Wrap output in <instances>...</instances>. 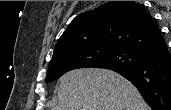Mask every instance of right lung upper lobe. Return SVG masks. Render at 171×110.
<instances>
[{"mask_svg": "<svg viewBox=\"0 0 171 110\" xmlns=\"http://www.w3.org/2000/svg\"><path fill=\"white\" fill-rule=\"evenodd\" d=\"M162 43L160 30L143 5L111 1L74 18L59 38L53 57L100 47H123L144 53Z\"/></svg>", "mask_w": 171, "mask_h": 110, "instance_id": "right-lung-upper-lobe-1", "label": "right lung upper lobe"}]
</instances>
